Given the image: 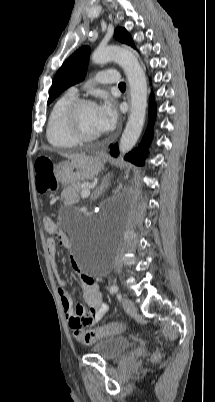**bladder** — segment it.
<instances>
[{
  "label": "bladder",
  "instance_id": "obj_1",
  "mask_svg": "<svg viewBox=\"0 0 215 402\" xmlns=\"http://www.w3.org/2000/svg\"><path fill=\"white\" fill-rule=\"evenodd\" d=\"M130 346L131 342L126 337L107 336L93 344L92 352L105 360H112L124 353Z\"/></svg>",
  "mask_w": 215,
  "mask_h": 402
}]
</instances>
